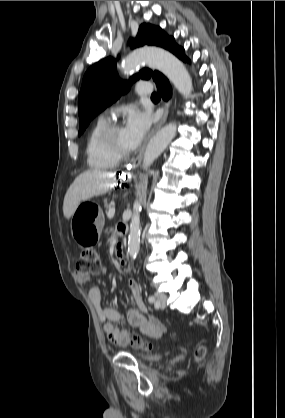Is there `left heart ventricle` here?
Listing matches in <instances>:
<instances>
[{"label":"left heart ventricle","mask_w":285,"mask_h":418,"mask_svg":"<svg viewBox=\"0 0 285 418\" xmlns=\"http://www.w3.org/2000/svg\"><path fill=\"white\" fill-rule=\"evenodd\" d=\"M113 145L120 151H125L131 148L128 135L124 128L121 127L114 133Z\"/></svg>","instance_id":"left-heart-ventricle-1"}]
</instances>
